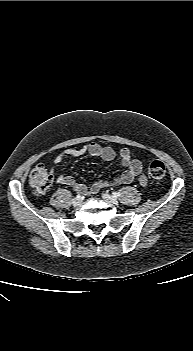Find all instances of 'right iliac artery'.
Here are the masks:
<instances>
[{"instance_id": "obj_1", "label": "right iliac artery", "mask_w": 193, "mask_h": 351, "mask_svg": "<svg viewBox=\"0 0 193 351\" xmlns=\"http://www.w3.org/2000/svg\"><path fill=\"white\" fill-rule=\"evenodd\" d=\"M76 197H77V198H80V199L82 198L80 194H78Z\"/></svg>"}]
</instances>
